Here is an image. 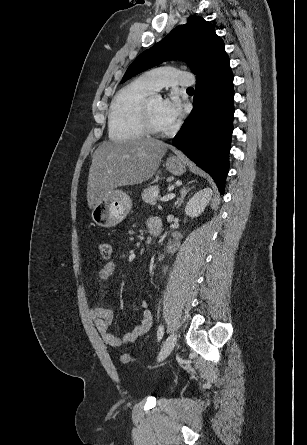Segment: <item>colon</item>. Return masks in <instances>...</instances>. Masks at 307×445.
Listing matches in <instances>:
<instances>
[{
	"label": "colon",
	"mask_w": 307,
	"mask_h": 445,
	"mask_svg": "<svg viewBox=\"0 0 307 445\" xmlns=\"http://www.w3.org/2000/svg\"><path fill=\"white\" fill-rule=\"evenodd\" d=\"M97 249H98L99 254L103 258H106V259L110 257L111 252H112L111 244L107 241H98ZM120 359L123 363H131L134 361L133 356L129 353H122L120 355Z\"/></svg>",
	"instance_id": "obj_1"
}]
</instances>
